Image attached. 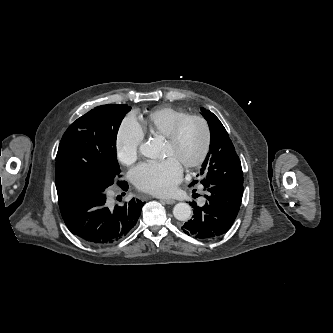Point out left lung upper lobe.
<instances>
[{
    "instance_id": "obj_1",
    "label": "left lung upper lobe",
    "mask_w": 333,
    "mask_h": 333,
    "mask_svg": "<svg viewBox=\"0 0 333 333\" xmlns=\"http://www.w3.org/2000/svg\"><path fill=\"white\" fill-rule=\"evenodd\" d=\"M201 111L208 122L211 141L199 181L196 180L194 184L200 182L210 186L243 185L241 162L227 131L216 115L204 108H201Z\"/></svg>"
}]
</instances>
